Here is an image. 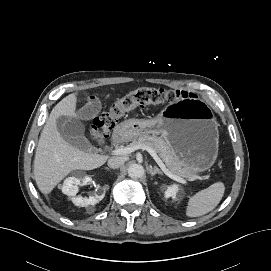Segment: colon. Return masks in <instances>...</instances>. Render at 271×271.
I'll return each mask as SVG.
<instances>
[{
	"label": "colon",
	"mask_w": 271,
	"mask_h": 271,
	"mask_svg": "<svg viewBox=\"0 0 271 271\" xmlns=\"http://www.w3.org/2000/svg\"><path fill=\"white\" fill-rule=\"evenodd\" d=\"M178 92L159 88H139L116 101L105 113L94 118L91 136L97 142L103 141L118 118L135 108L151 104H162L178 97Z\"/></svg>",
	"instance_id": "colon-1"
}]
</instances>
